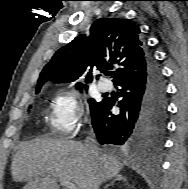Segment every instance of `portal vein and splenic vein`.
Listing matches in <instances>:
<instances>
[{"label": "portal vein and splenic vein", "instance_id": "1", "mask_svg": "<svg viewBox=\"0 0 188 189\" xmlns=\"http://www.w3.org/2000/svg\"><path fill=\"white\" fill-rule=\"evenodd\" d=\"M60 183L65 189H77V186L72 182L60 179Z\"/></svg>", "mask_w": 188, "mask_h": 189}]
</instances>
